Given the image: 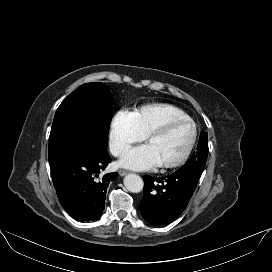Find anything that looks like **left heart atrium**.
I'll list each match as a JSON object with an SVG mask.
<instances>
[{
  "label": "left heart atrium",
  "mask_w": 272,
  "mask_h": 272,
  "mask_svg": "<svg viewBox=\"0 0 272 272\" xmlns=\"http://www.w3.org/2000/svg\"><path fill=\"white\" fill-rule=\"evenodd\" d=\"M159 164L156 153L148 144L131 148L119 161L120 166L133 170H147Z\"/></svg>",
  "instance_id": "39dd6f15"
}]
</instances>
